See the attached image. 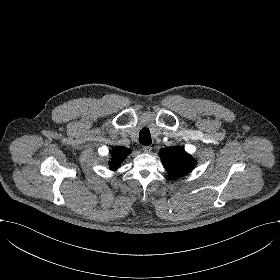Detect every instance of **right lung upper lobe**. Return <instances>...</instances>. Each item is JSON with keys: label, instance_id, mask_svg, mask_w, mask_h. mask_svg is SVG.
Returning a JSON list of instances; mask_svg holds the SVG:
<instances>
[{"label": "right lung upper lobe", "instance_id": "cb5924a9", "mask_svg": "<svg viewBox=\"0 0 280 280\" xmlns=\"http://www.w3.org/2000/svg\"><path fill=\"white\" fill-rule=\"evenodd\" d=\"M131 153L130 149L125 147H117L115 148L112 153V160L110 162V169L116 170L120 167V164L124 161V159Z\"/></svg>", "mask_w": 280, "mask_h": 280}]
</instances>
